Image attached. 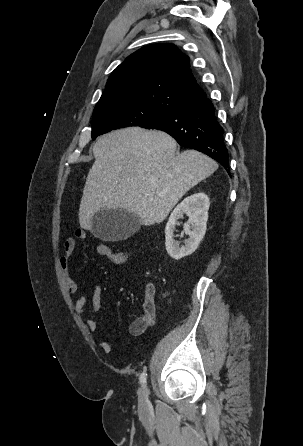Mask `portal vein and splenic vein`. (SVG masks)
Segmentation results:
<instances>
[{"label":"portal vein and splenic vein","mask_w":303,"mask_h":446,"mask_svg":"<svg viewBox=\"0 0 303 446\" xmlns=\"http://www.w3.org/2000/svg\"><path fill=\"white\" fill-rule=\"evenodd\" d=\"M158 195H159V196H162V194H161V193H158Z\"/></svg>","instance_id":"18ae733b"}]
</instances>
